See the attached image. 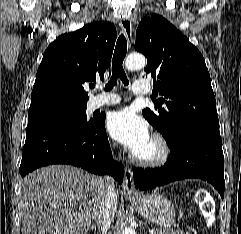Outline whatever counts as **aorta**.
<instances>
[{"instance_id":"762f6f07","label":"aorta","mask_w":241,"mask_h":234,"mask_svg":"<svg viewBox=\"0 0 241 234\" xmlns=\"http://www.w3.org/2000/svg\"><path fill=\"white\" fill-rule=\"evenodd\" d=\"M126 68L128 70H137L142 69L146 66V58L141 54H130L126 58ZM122 234H136L135 230H133L131 227L123 229Z\"/></svg>"}]
</instances>
